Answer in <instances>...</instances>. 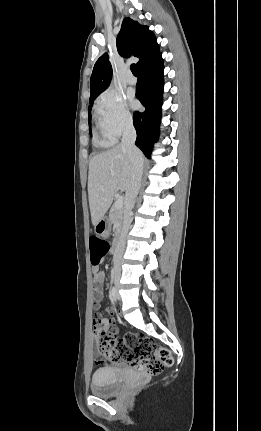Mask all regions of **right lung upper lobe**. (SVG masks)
<instances>
[{
	"instance_id": "right-lung-upper-lobe-1",
	"label": "right lung upper lobe",
	"mask_w": 261,
	"mask_h": 431,
	"mask_svg": "<svg viewBox=\"0 0 261 431\" xmlns=\"http://www.w3.org/2000/svg\"><path fill=\"white\" fill-rule=\"evenodd\" d=\"M117 50L123 57L131 55L138 57L140 68L145 62L159 52L156 37L147 26H141L137 21L124 18L121 30L117 36ZM112 77V66L107 53L95 63L90 79V99L96 98L108 88Z\"/></svg>"
}]
</instances>
